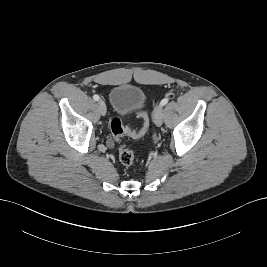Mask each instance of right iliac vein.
I'll list each match as a JSON object with an SVG mask.
<instances>
[{
  "instance_id": "obj_1",
  "label": "right iliac vein",
  "mask_w": 267,
  "mask_h": 267,
  "mask_svg": "<svg viewBox=\"0 0 267 267\" xmlns=\"http://www.w3.org/2000/svg\"><path fill=\"white\" fill-rule=\"evenodd\" d=\"M98 109H99L101 115L104 116L106 114V105H105L104 101L101 99L98 101Z\"/></svg>"
}]
</instances>
